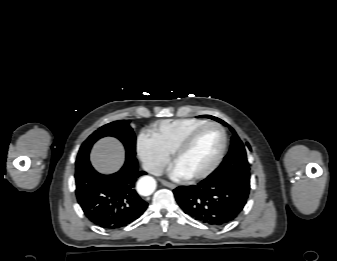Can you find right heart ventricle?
I'll list each match as a JSON object with an SVG mask.
<instances>
[{"instance_id": "obj_1", "label": "right heart ventricle", "mask_w": 337, "mask_h": 261, "mask_svg": "<svg viewBox=\"0 0 337 261\" xmlns=\"http://www.w3.org/2000/svg\"><path fill=\"white\" fill-rule=\"evenodd\" d=\"M206 121L198 118L169 119L155 123L149 134L168 154H172L183 138Z\"/></svg>"}]
</instances>
